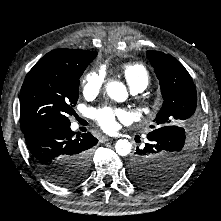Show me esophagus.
I'll return each mask as SVG.
<instances>
[{
	"instance_id": "esophagus-1",
	"label": "esophagus",
	"mask_w": 221,
	"mask_h": 221,
	"mask_svg": "<svg viewBox=\"0 0 221 221\" xmlns=\"http://www.w3.org/2000/svg\"><path fill=\"white\" fill-rule=\"evenodd\" d=\"M111 140H112V138L107 137V136H102L100 138V142H102V143H105V142H108V141H111Z\"/></svg>"
}]
</instances>
